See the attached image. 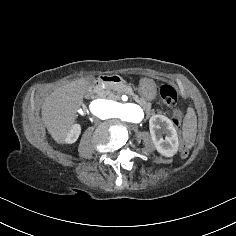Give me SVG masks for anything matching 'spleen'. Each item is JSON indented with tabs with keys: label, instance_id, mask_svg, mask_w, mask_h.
Segmentation results:
<instances>
[{
	"label": "spleen",
	"instance_id": "3e777b00",
	"mask_svg": "<svg viewBox=\"0 0 236 236\" xmlns=\"http://www.w3.org/2000/svg\"><path fill=\"white\" fill-rule=\"evenodd\" d=\"M182 136L185 146L192 149L195 145L197 136V116L195 110L189 107L183 121Z\"/></svg>",
	"mask_w": 236,
	"mask_h": 236
}]
</instances>
